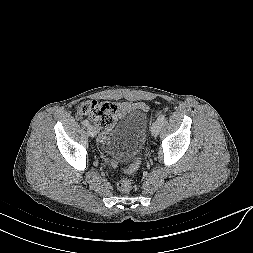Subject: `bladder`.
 <instances>
[{"instance_id":"bladder-1","label":"bladder","mask_w":253,"mask_h":253,"mask_svg":"<svg viewBox=\"0 0 253 253\" xmlns=\"http://www.w3.org/2000/svg\"><path fill=\"white\" fill-rule=\"evenodd\" d=\"M148 127V118L137 110L122 111L113 126L107 131L105 140L119 148V160L128 161L142 147Z\"/></svg>"}]
</instances>
